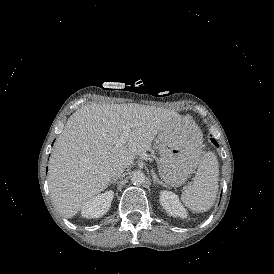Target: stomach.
<instances>
[{
    "mask_svg": "<svg viewBox=\"0 0 274 274\" xmlns=\"http://www.w3.org/2000/svg\"><path fill=\"white\" fill-rule=\"evenodd\" d=\"M170 133V136H158L157 148L161 153L159 177L163 186L179 187L196 170L194 153L201 150L202 141L198 127L188 119H184L182 126L173 127Z\"/></svg>",
    "mask_w": 274,
    "mask_h": 274,
    "instance_id": "1",
    "label": "stomach"
}]
</instances>
